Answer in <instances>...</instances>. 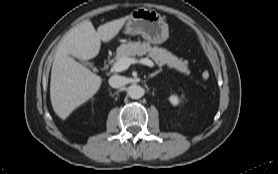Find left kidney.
Masks as SVG:
<instances>
[{
	"label": "left kidney",
	"mask_w": 278,
	"mask_h": 174,
	"mask_svg": "<svg viewBox=\"0 0 278 174\" xmlns=\"http://www.w3.org/2000/svg\"><path fill=\"white\" fill-rule=\"evenodd\" d=\"M169 101L171 102L172 105H178L179 104V98L176 95H171L169 97Z\"/></svg>",
	"instance_id": "5707ae66"
}]
</instances>
